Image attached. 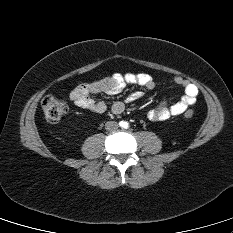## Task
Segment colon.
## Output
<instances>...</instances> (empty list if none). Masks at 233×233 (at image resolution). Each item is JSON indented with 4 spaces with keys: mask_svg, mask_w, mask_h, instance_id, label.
<instances>
[{
    "mask_svg": "<svg viewBox=\"0 0 233 233\" xmlns=\"http://www.w3.org/2000/svg\"><path fill=\"white\" fill-rule=\"evenodd\" d=\"M42 109L46 119L49 122L59 121L69 110L68 103L54 96H46L42 100ZM194 116L193 110H187L184 113L185 118H192Z\"/></svg>",
    "mask_w": 233,
    "mask_h": 233,
    "instance_id": "1",
    "label": "colon"
}]
</instances>
